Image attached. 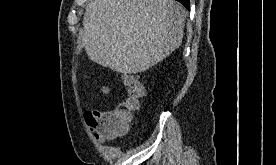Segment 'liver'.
Wrapping results in <instances>:
<instances>
[{"label": "liver", "mask_w": 276, "mask_h": 165, "mask_svg": "<svg viewBox=\"0 0 276 165\" xmlns=\"http://www.w3.org/2000/svg\"><path fill=\"white\" fill-rule=\"evenodd\" d=\"M186 15L175 0H91L80 36L90 60L135 74L181 45Z\"/></svg>", "instance_id": "1"}]
</instances>
